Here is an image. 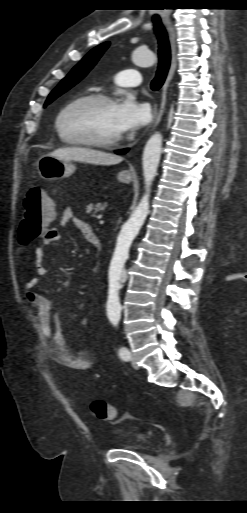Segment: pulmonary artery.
I'll use <instances>...</instances> for the list:
<instances>
[{"mask_svg": "<svg viewBox=\"0 0 247 513\" xmlns=\"http://www.w3.org/2000/svg\"><path fill=\"white\" fill-rule=\"evenodd\" d=\"M116 82L121 86H138L141 84V76L136 69H126L117 73Z\"/></svg>", "mask_w": 247, "mask_h": 513, "instance_id": "obj_1", "label": "pulmonary artery"}]
</instances>
